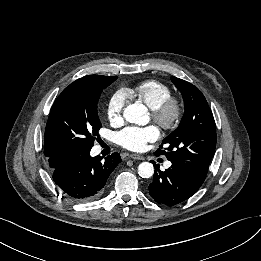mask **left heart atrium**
Instances as JSON below:
<instances>
[{
  "label": "left heart atrium",
  "mask_w": 261,
  "mask_h": 261,
  "mask_svg": "<svg viewBox=\"0 0 261 261\" xmlns=\"http://www.w3.org/2000/svg\"><path fill=\"white\" fill-rule=\"evenodd\" d=\"M159 137L160 132L154 125L129 126L117 133V142L128 150L142 151L146 148L147 143L154 142Z\"/></svg>",
  "instance_id": "obj_1"
}]
</instances>
